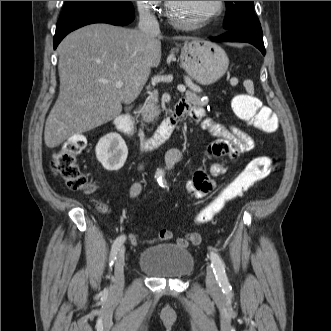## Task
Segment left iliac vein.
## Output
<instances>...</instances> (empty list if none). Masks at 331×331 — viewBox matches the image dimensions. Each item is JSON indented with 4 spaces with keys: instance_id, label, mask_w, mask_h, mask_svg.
Instances as JSON below:
<instances>
[{
    "instance_id": "1",
    "label": "left iliac vein",
    "mask_w": 331,
    "mask_h": 331,
    "mask_svg": "<svg viewBox=\"0 0 331 331\" xmlns=\"http://www.w3.org/2000/svg\"><path fill=\"white\" fill-rule=\"evenodd\" d=\"M206 285L212 291H216L219 287L213 269L210 266L207 267Z\"/></svg>"
}]
</instances>
